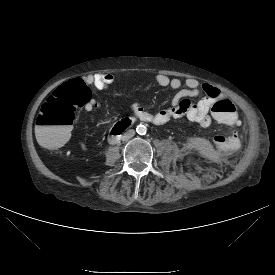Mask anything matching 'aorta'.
Masks as SVG:
<instances>
[{
  "label": "aorta",
  "mask_w": 275,
  "mask_h": 275,
  "mask_svg": "<svg viewBox=\"0 0 275 275\" xmlns=\"http://www.w3.org/2000/svg\"><path fill=\"white\" fill-rule=\"evenodd\" d=\"M136 131L139 135H144L146 134L147 128L145 125L140 124L137 126Z\"/></svg>",
  "instance_id": "aorta-1"
}]
</instances>
